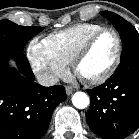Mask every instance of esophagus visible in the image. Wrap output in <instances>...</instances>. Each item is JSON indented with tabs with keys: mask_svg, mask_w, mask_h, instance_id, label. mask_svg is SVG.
<instances>
[{
	"mask_svg": "<svg viewBox=\"0 0 139 139\" xmlns=\"http://www.w3.org/2000/svg\"><path fill=\"white\" fill-rule=\"evenodd\" d=\"M65 89H66V93H67V95L72 94L73 91H74L73 87H71V86H67Z\"/></svg>",
	"mask_w": 139,
	"mask_h": 139,
	"instance_id": "esophagus-1",
	"label": "esophagus"
}]
</instances>
